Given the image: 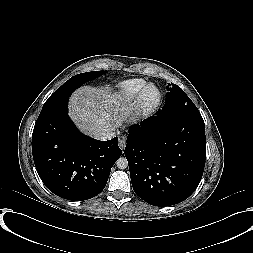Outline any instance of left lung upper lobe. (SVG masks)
<instances>
[{"label": "left lung upper lobe", "mask_w": 253, "mask_h": 253, "mask_svg": "<svg viewBox=\"0 0 253 253\" xmlns=\"http://www.w3.org/2000/svg\"><path fill=\"white\" fill-rule=\"evenodd\" d=\"M168 86L165 106L161 111L177 110L183 112H199L191 99L180 87L175 84H168Z\"/></svg>", "instance_id": "obj_1"}]
</instances>
